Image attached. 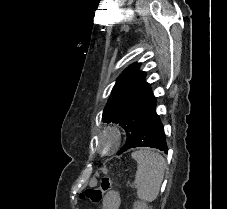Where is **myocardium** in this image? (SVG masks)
<instances>
[{
  "label": "myocardium",
  "mask_w": 227,
  "mask_h": 209,
  "mask_svg": "<svg viewBox=\"0 0 227 209\" xmlns=\"http://www.w3.org/2000/svg\"><path fill=\"white\" fill-rule=\"evenodd\" d=\"M105 134H110L113 138V142H112L111 146H109L105 149H102L99 146V138ZM121 141H122V131L118 125L113 124V123H108V124L103 125L94 134V137H93V145H94L95 151L102 156H107V155H110V154L114 153L115 151H117L121 145Z\"/></svg>",
  "instance_id": "f54148a6"
}]
</instances>
